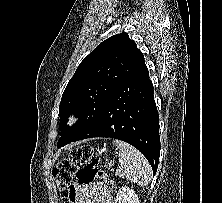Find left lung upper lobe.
Instances as JSON below:
<instances>
[{"label": "left lung upper lobe", "mask_w": 222, "mask_h": 203, "mask_svg": "<svg viewBox=\"0 0 222 203\" xmlns=\"http://www.w3.org/2000/svg\"><path fill=\"white\" fill-rule=\"evenodd\" d=\"M144 59L127 33L101 42L78 66L68 82L59 106L61 138L58 148L67 145L96 117L111 94ZM71 114L78 117L66 126Z\"/></svg>", "instance_id": "obj_1"}]
</instances>
